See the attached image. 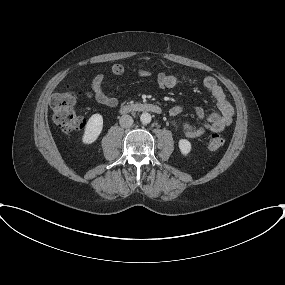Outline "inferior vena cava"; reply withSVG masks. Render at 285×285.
<instances>
[{
	"label": "inferior vena cava",
	"instance_id": "inferior-vena-cava-1",
	"mask_svg": "<svg viewBox=\"0 0 285 285\" xmlns=\"http://www.w3.org/2000/svg\"><path fill=\"white\" fill-rule=\"evenodd\" d=\"M133 122V118L130 115H122L119 119V124L122 128L131 127Z\"/></svg>",
	"mask_w": 285,
	"mask_h": 285
}]
</instances>
